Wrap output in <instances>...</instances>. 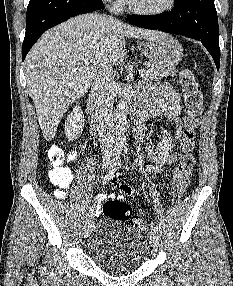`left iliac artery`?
Here are the masks:
<instances>
[{"mask_svg": "<svg viewBox=\"0 0 233 286\" xmlns=\"http://www.w3.org/2000/svg\"><path fill=\"white\" fill-rule=\"evenodd\" d=\"M124 151L127 153L126 147L124 148ZM151 228H152L153 232H155L157 234L159 233V227L155 223H151Z\"/></svg>", "mask_w": 233, "mask_h": 286, "instance_id": "1", "label": "left iliac artery"}]
</instances>
